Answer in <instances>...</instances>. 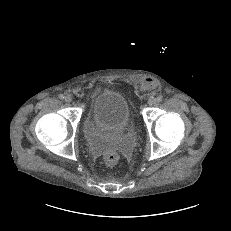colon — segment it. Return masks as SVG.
Listing matches in <instances>:
<instances>
[{"label":"colon","instance_id":"obj_1","mask_svg":"<svg viewBox=\"0 0 231 231\" xmlns=\"http://www.w3.org/2000/svg\"><path fill=\"white\" fill-rule=\"evenodd\" d=\"M120 159L119 153L115 150H109L104 155V160L108 165H115Z\"/></svg>","mask_w":231,"mask_h":231}]
</instances>
